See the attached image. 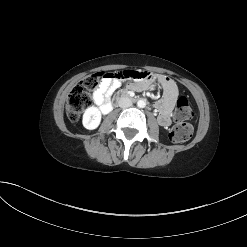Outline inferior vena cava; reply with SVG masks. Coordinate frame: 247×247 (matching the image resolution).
I'll list each match as a JSON object with an SVG mask.
<instances>
[{
	"instance_id": "602c4592",
	"label": "inferior vena cava",
	"mask_w": 247,
	"mask_h": 247,
	"mask_svg": "<svg viewBox=\"0 0 247 247\" xmlns=\"http://www.w3.org/2000/svg\"><path fill=\"white\" fill-rule=\"evenodd\" d=\"M118 105L121 108H128L132 106V100L128 96H123L119 99Z\"/></svg>"
}]
</instances>
